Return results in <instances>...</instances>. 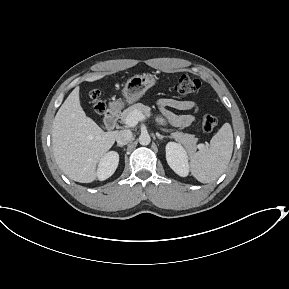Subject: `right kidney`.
I'll return each mask as SVG.
<instances>
[{"mask_svg": "<svg viewBox=\"0 0 289 289\" xmlns=\"http://www.w3.org/2000/svg\"><path fill=\"white\" fill-rule=\"evenodd\" d=\"M119 154L115 151L105 153L98 164L97 177L103 181L112 176L118 167Z\"/></svg>", "mask_w": 289, "mask_h": 289, "instance_id": "ca27d5eb", "label": "right kidney"}]
</instances>
